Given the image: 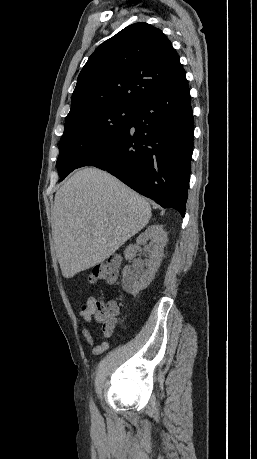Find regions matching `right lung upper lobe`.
I'll list each match as a JSON object with an SVG mask.
<instances>
[{
  "label": "right lung upper lobe",
  "instance_id": "obj_1",
  "mask_svg": "<svg viewBox=\"0 0 257 459\" xmlns=\"http://www.w3.org/2000/svg\"><path fill=\"white\" fill-rule=\"evenodd\" d=\"M185 71L171 42L145 22L103 42L81 70L65 125L101 109L136 107Z\"/></svg>",
  "mask_w": 257,
  "mask_h": 459
}]
</instances>
